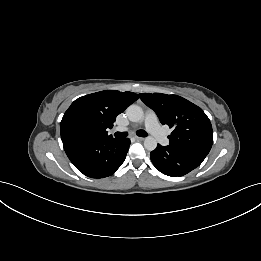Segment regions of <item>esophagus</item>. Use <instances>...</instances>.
Segmentation results:
<instances>
[{"label":"esophagus","mask_w":261,"mask_h":261,"mask_svg":"<svg viewBox=\"0 0 261 261\" xmlns=\"http://www.w3.org/2000/svg\"><path fill=\"white\" fill-rule=\"evenodd\" d=\"M135 140H137V141H143L144 140V138H142V137H135Z\"/></svg>","instance_id":"obj_1"}]
</instances>
